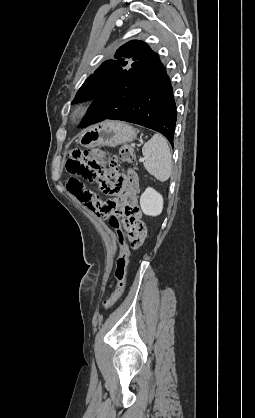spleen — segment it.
Returning <instances> with one entry per match:
<instances>
[{"instance_id": "obj_1", "label": "spleen", "mask_w": 255, "mask_h": 418, "mask_svg": "<svg viewBox=\"0 0 255 418\" xmlns=\"http://www.w3.org/2000/svg\"><path fill=\"white\" fill-rule=\"evenodd\" d=\"M144 167L157 180L164 182L172 173V156L165 137L154 134L142 147Z\"/></svg>"}]
</instances>
